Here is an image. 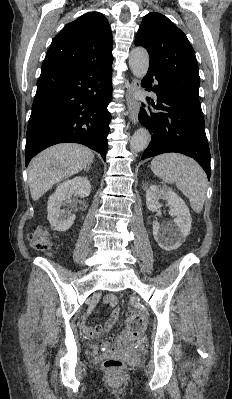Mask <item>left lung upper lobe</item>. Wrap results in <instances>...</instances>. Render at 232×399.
I'll list each match as a JSON object with an SVG mask.
<instances>
[{"mask_svg": "<svg viewBox=\"0 0 232 399\" xmlns=\"http://www.w3.org/2000/svg\"><path fill=\"white\" fill-rule=\"evenodd\" d=\"M135 45L147 49L149 70L156 72L190 106L202 113L198 64L186 35L167 17L152 12L144 17Z\"/></svg>", "mask_w": 232, "mask_h": 399, "instance_id": "obj_1", "label": "left lung upper lobe"}]
</instances>
